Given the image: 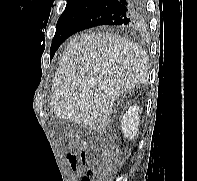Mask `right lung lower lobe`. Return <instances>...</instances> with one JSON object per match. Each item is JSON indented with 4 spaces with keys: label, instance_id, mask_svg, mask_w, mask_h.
Returning a JSON list of instances; mask_svg holds the SVG:
<instances>
[{
    "label": "right lung lower lobe",
    "instance_id": "obj_1",
    "mask_svg": "<svg viewBox=\"0 0 197 181\" xmlns=\"http://www.w3.org/2000/svg\"><path fill=\"white\" fill-rule=\"evenodd\" d=\"M141 22L140 0H99L78 18L68 37L96 26L136 27Z\"/></svg>",
    "mask_w": 197,
    "mask_h": 181
}]
</instances>
